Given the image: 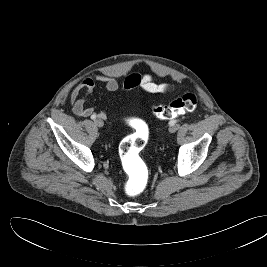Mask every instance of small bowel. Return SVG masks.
<instances>
[{
  "mask_svg": "<svg viewBox=\"0 0 267 267\" xmlns=\"http://www.w3.org/2000/svg\"><path fill=\"white\" fill-rule=\"evenodd\" d=\"M98 81L103 83V89L106 92H115L119 89V82L114 77L99 76ZM95 86V81L92 78L86 77L73 88L70 93V103L75 115L79 117H91L92 115H96L100 119H105L107 117L106 111L96 112L93 107L87 106L85 103L86 96L94 91ZM136 87H141L151 93H165L173 89L169 84L155 83L153 76L150 74H131L126 77L123 90L127 92Z\"/></svg>",
  "mask_w": 267,
  "mask_h": 267,
  "instance_id": "obj_1",
  "label": "small bowel"
}]
</instances>
